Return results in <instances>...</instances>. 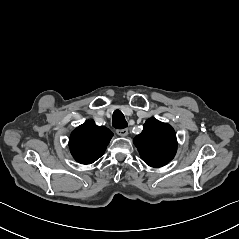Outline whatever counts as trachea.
I'll use <instances>...</instances> for the list:
<instances>
[{"label":"trachea","mask_w":239,"mask_h":239,"mask_svg":"<svg viewBox=\"0 0 239 239\" xmlns=\"http://www.w3.org/2000/svg\"><path fill=\"white\" fill-rule=\"evenodd\" d=\"M112 126L116 129H124L128 126V123L126 122L124 115L122 114L121 111L116 110L113 113V118H112Z\"/></svg>","instance_id":"3493384b"}]
</instances>
